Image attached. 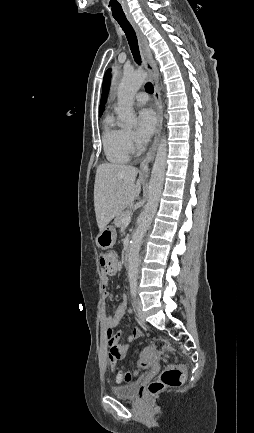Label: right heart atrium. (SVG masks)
Returning a JSON list of instances; mask_svg holds the SVG:
<instances>
[{"instance_id": "1", "label": "right heart atrium", "mask_w": 254, "mask_h": 433, "mask_svg": "<svg viewBox=\"0 0 254 433\" xmlns=\"http://www.w3.org/2000/svg\"><path fill=\"white\" fill-rule=\"evenodd\" d=\"M126 140L132 152L138 151L141 148L140 139L133 131H126Z\"/></svg>"}]
</instances>
